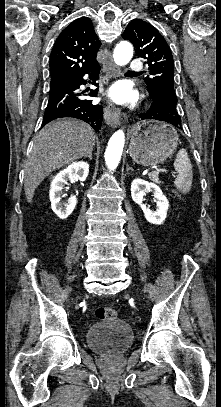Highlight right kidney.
<instances>
[{
	"label": "right kidney",
	"mask_w": 221,
	"mask_h": 407,
	"mask_svg": "<svg viewBox=\"0 0 221 407\" xmlns=\"http://www.w3.org/2000/svg\"><path fill=\"white\" fill-rule=\"evenodd\" d=\"M89 173V164L83 161L74 162L60 171L53 179L49 192L51 208L60 218L66 219L74 210L77 199L70 196L67 202H62L64 186L68 180L85 181Z\"/></svg>",
	"instance_id": "right-kidney-1"
}]
</instances>
